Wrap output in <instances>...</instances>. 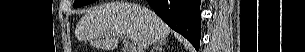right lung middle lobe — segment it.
<instances>
[{
	"label": "right lung middle lobe",
	"instance_id": "obj_1",
	"mask_svg": "<svg viewBox=\"0 0 305 52\" xmlns=\"http://www.w3.org/2000/svg\"><path fill=\"white\" fill-rule=\"evenodd\" d=\"M95 0H75L74 7H81L87 5Z\"/></svg>",
	"mask_w": 305,
	"mask_h": 52
}]
</instances>
